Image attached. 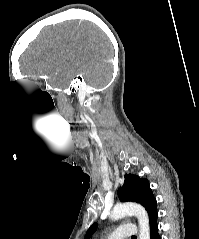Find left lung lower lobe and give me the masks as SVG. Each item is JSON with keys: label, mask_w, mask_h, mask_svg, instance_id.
<instances>
[{"label": "left lung lower lobe", "mask_w": 199, "mask_h": 239, "mask_svg": "<svg viewBox=\"0 0 199 239\" xmlns=\"http://www.w3.org/2000/svg\"><path fill=\"white\" fill-rule=\"evenodd\" d=\"M157 218H158V213L156 212L149 219L150 239H161L158 233Z\"/></svg>", "instance_id": "left-lung-lower-lobe-1"}]
</instances>
